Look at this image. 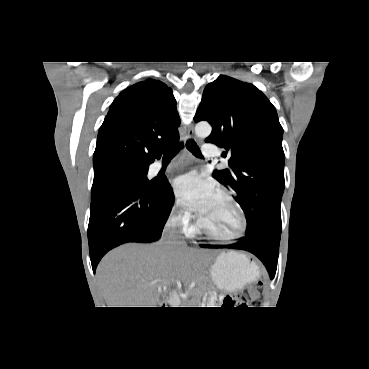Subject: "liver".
<instances>
[{"instance_id":"liver-1","label":"liver","mask_w":369,"mask_h":369,"mask_svg":"<svg viewBox=\"0 0 369 369\" xmlns=\"http://www.w3.org/2000/svg\"><path fill=\"white\" fill-rule=\"evenodd\" d=\"M207 256V252L186 245L168 250L162 241L150 245L129 243L109 252L96 276L108 307H156L159 288L175 281L196 280Z\"/></svg>"}]
</instances>
